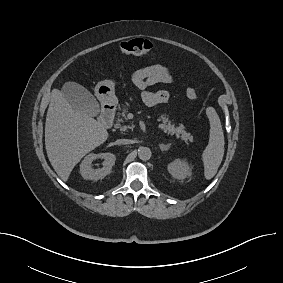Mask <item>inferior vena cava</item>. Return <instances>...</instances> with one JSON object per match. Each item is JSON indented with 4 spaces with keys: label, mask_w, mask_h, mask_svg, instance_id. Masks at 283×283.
<instances>
[{
    "label": "inferior vena cava",
    "mask_w": 283,
    "mask_h": 283,
    "mask_svg": "<svg viewBox=\"0 0 283 283\" xmlns=\"http://www.w3.org/2000/svg\"><path fill=\"white\" fill-rule=\"evenodd\" d=\"M132 141L131 140H128V139H120L119 140V143L120 144H130Z\"/></svg>",
    "instance_id": "1"
}]
</instances>
